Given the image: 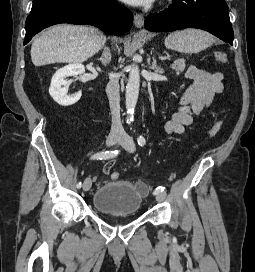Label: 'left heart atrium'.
Listing matches in <instances>:
<instances>
[{
	"mask_svg": "<svg viewBox=\"0 0 255 272\" xmlns=\"http://www.w3.org/2000/svg\"><path fill=\"white\" fill-rule=\"evenodd\" d=\"M129 4L137 5V6H146L153 3L155 0H123Z\"/></svg>",
	"mask_w": 255,
	"mask_h": 272,
	"instance_id": "obj_1",
	"label": "left heart atrium"
}]
</instances>
